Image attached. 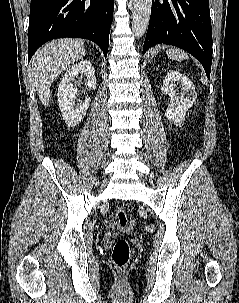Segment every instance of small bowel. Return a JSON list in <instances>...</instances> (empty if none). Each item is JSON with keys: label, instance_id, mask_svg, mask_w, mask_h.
<instances>
[{"label": "small bowel", "instance_id": "obj_1", "mask_svg": "<svg viewBox=\"0 0 239 303\" xmlns=\"http://www.w3.org/2000/svg\"><path fill=\"white\" fill-rule=\"evenodd\" d=\"M105 224L107 227H109L111 229H118L116 222L114 220H112L111 218L106 219Z\"/></svg>", "mask_w": 239, "mask_h": 303}]
</instances>
